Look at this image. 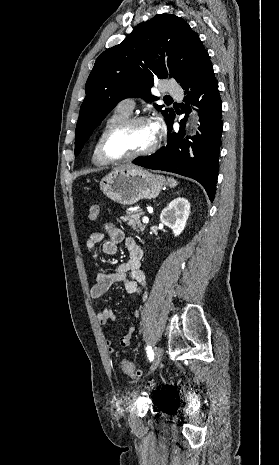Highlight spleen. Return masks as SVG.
Instances as JSON below:
<instances>
[{"label":"spleen","instance_id":"obj_1","mask_svg":"<svg viewBox=\"0 0 279 465\" xmlns=\"http://www.w3.org/2000/svg\"><path fill=\"white\" fill-rule=\"evenodd\" d=\"M168 183L171 187H175L177 185V181L173 178H168Z\"/></svg>","mask_w":279,"mask_h":465}]
</instances>
